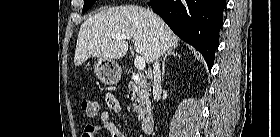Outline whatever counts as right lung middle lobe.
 <instances>
[{"label":"right lung middle lobe","instance_id":"right-lung-middle-lobe-1","mask_svg":"<svg viewBox=\"0 0 280 137\" xmlns=\"http://www.w3.org/2000/svg\"><path fill=\"white\" fill-rule=\"evenodd\" d=\"M95 2L96 0H84L82 13L86 12Z\"/></svg>","mask_w":280,"mask_h":137}]
</instances>
